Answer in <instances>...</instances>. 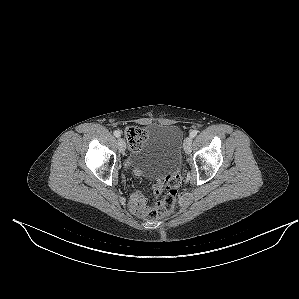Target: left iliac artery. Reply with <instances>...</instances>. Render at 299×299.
<instances>
[{
	"label": "left iliac artery",
	"instance_id": "obj_1",
	"mask_svg": "<svg viewBox=\"0 0 299 299\" xmlns=\"http://www.w3.org/2000/svg\"><path fill=\"white\" fill-rule=\"evenodd\" d=\"M197 133H198L197 130H192V131L190 132V137H191V138H194V137L197 135Z\"/></svg>",
	"mask_w": 299,
	"mask_h": 299
}]
</instances>
